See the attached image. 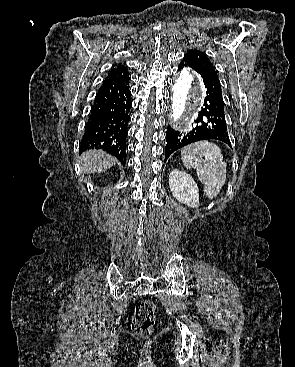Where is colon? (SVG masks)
<instances>
[{
  "label": "colon",
  "instance_id": "colon-1",
  "mask_svg": "<svg viewBox=\"0 0 295 367\" xmlns=\"http://www.w3.org/2000/svg\"><path fill=\"white\" fill-rule=\"evenodd\" d=\"M155 305L150 300H141L137 303L132 321L133 331L141 336H147L152 331L155 321Z\"/></svg>",
  "mask_w": 295,
  "mask_h": 367
}]
</instances>
